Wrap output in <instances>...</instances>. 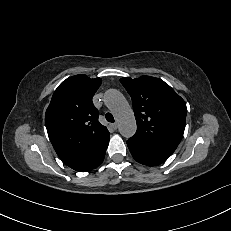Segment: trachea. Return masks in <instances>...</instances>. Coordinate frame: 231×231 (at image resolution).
Masks as SVG:
<instances>
[{"instance_id": "trachea-1", "label": "trachea", "mask_w": 231, "mask_h": 231, "mask_svg": "<svg viewBox=\"0 0 231 231\" xmlns=\"http://www.w3.org/2000/svg\"><path fill=\"white\" fill-rule=\"evenodd\" d=\"M105 118L108 122L114 123V117L111 113H106Z\"/></svg>"}]
</instances>
